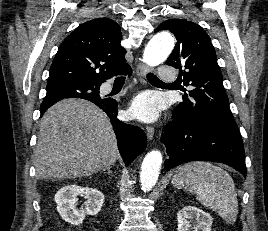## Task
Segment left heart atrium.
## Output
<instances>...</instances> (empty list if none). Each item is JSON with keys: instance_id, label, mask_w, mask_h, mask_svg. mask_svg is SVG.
Instances as JSON below:
<instances>
[{"instance_id": "obj_1", "label": "left heart atrium", "mask_w": 268, "mask_h": 231, "mask_svg": "<svg viewBox=\"0 0 268 231\" xmlns=\"http://www.w3.org/2000/svg\"><path fill=\"white\" fill-rule=\"evenodd\" d=\"M159 116V109L154 95L144 92L136 96L128 109V117L142 122H152Z\"/></svg>"}]
</instances>
